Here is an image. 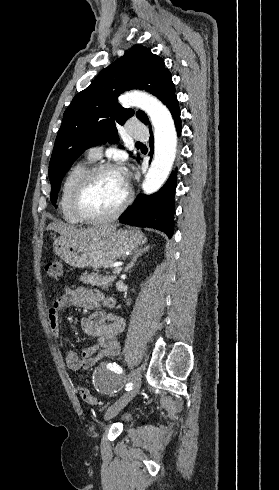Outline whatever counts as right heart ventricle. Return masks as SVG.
<instances>
[{
	"instance_id": "1",
	"label": "right heart ventricle",
	"mask_w": 279,
	"mask_h": 490,
	"mask_svg": "<svg viewBox=\"0 0 279 490\" xmlns=\"http://www.w3.org/2000/svg\"><path fill=\"white\" fill-rule=\"evenodd\" d=\"M90 160L84 159L73 164L67 171L60 189L59 207L62 218L71 225L85 223L74 209V194L82 175L89 169Z\"/></svg>"
}]
</instances>
